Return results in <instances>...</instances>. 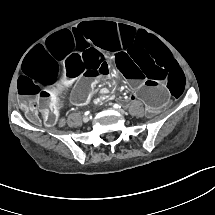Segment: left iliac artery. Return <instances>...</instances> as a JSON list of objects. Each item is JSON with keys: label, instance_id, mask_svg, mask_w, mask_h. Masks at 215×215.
Segmentation results:
<instances>
[{"label": "left iliac artery", "instance_id": "1", "mask_svg": "<svg viewBox=\"0 0 215 215\" xmlns=\"http://www.w3.org/2000/svg\"><path fill=\"white\" fill-rule=\"evenodd\" d=\"M113 107H114V108H116V109L121 108V106H120V105H118V104H114V105H113Z\"/></svg>", "mask_w": 215, "mask_h": 215}]
</instances>
